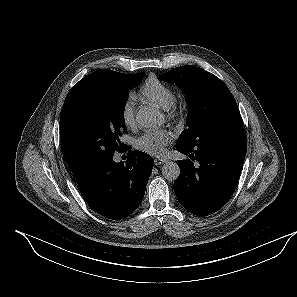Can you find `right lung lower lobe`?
Instances as JSON below:
<instances>
[{
    "label": "right lung lower lobe",
    "mask_w": 297,
    "mask_h": 297,
    "mask_svg": "<svg viewBox=\"0 0 297 297\" xmlns=\"http://www.w3.org/2000/svg\"><path fill=\"white\" fill-rule=\"evenodd\" d=\"M153 166L148 154L135 150L125 163H116L112 156L90 165L76 177L77 184L93 210L108 219L120 220L142 202Z\"/></svg>",
    "instance_id": "right-lung-lower-lobe-1"
}]
</instances>
